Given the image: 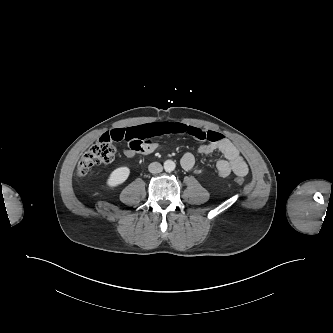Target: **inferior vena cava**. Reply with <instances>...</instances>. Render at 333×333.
Returning a JSON list of instances; mask_svg holds the SVG:
<instances>
[{"mask_svg": "<svg viewBox=\"0 0 333 333\" xmlns=\"http://www.w3.org/2000/svg\"><path fill=\"white\" fill-rule=\"evenodd\" d=\"M148 170L149 172L151 173H154V174H158V173H161L162 170H163V167L160 163L158 162H152L149 166H148Z\"/></svg>", "mask_w": 333, "mask_h": 333, "instance_id": "inferior-vena-cava-1", "label": "inferior vena cava"}]
</instances>
